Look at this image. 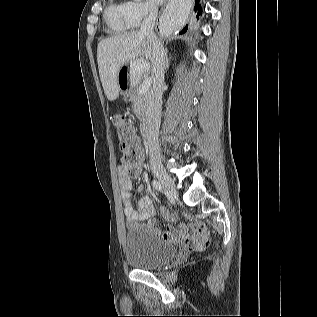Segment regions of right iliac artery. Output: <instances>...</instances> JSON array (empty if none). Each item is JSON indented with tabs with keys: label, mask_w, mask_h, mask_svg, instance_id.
<instances>
[{
	"label": "right iliac artery",
	"mask_w": 317,
	"mask_h": 317,
	"mask_svg": "<svg viewBox=\"0 0 317 317\" xmlns=\"http://www.w3.org/2000/svg\"><path fill=\"white\" fill-rule=\"evenodd\" d=\"M152 185L157 191H160V192L164 191V186L159 181L153 180Z\"/></svg>",
	"instance_id": "right-iliac-artery-1"
}]
</instances>
